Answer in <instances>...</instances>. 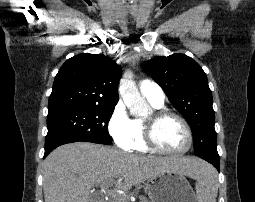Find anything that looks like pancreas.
Here are the masks:
<instances>
[{
  "label": "pancreas",
  "instance_id": "1",
  "mask_svg": "<svg viewBox=\"0 0 255 202\" xmlns=\"http://www.w3.org/2000/svg\"><path fill=\"white\" fill-rule=\"evenodd\" d=\"M111 202H129V199L127 196L117 195L113 198ZM144 202H147V201H144Z\"/></svg>",
  "mask_w": 255,
  "mask_h": 202
}]
</instances>
